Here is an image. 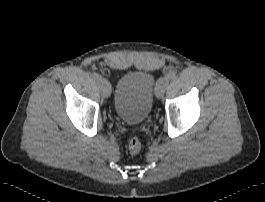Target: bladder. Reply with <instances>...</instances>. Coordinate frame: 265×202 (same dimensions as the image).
<instances>
[{
  "label": "bladder",
  "instance_id": "obj_1",
  "mask_svg": "<svg viewBox=\"0 0 265 202\" xmlns=\"http://www.w3.org/2000/svg\"><path fill=\"white\" fill-rule=\"evenodd\" d=\"M157 80L145 71L120 78L114 94V110L128 124H140L150 114Z\"/></svg>",
  "mask_w": 265,
  "mask_h": 202
}]
</instances>
